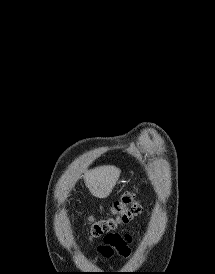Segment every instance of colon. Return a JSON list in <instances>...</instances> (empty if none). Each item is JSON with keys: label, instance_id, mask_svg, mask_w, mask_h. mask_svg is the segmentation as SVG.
<instances>
[{"label": "colon", "instance_id": "obj_1", "mask_svg": "<svg viewBox=\"0 0 215 274\" xmlns=\"http://www.w3.org/2000/svg\"><path fill=\"white\" fill-rule=\"evenodd\" d=\"M141 206L136 192L124 193L110 208L111 216L103 219H90V236L97 238L106 232L115 229L121 224L128 223L140 214Z\"/></svg>", "mask_w": 215, "mask_h": 274}]
</instances>
